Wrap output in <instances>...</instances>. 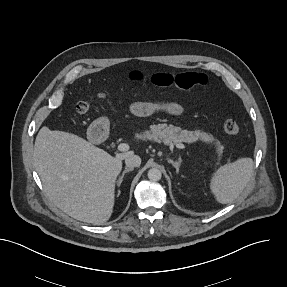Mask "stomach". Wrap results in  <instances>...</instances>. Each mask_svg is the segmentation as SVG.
Here are the masks:
<instances>
[{"mask_svg": "<svg viewBox=\"0 0 287 287\" xmlns=\"http://www.w3.org/2000/svg\"><path fill=\"white\" fill-rule=\"evenodd\" d=\"M92 128H100L103 130L109 129V120L107 117H100L96 121L93 122Z\"/></svg>", "mask_w": 287, "mask_h": 287, "instance_id": "1", "label": "stomach"}]
</instances>
